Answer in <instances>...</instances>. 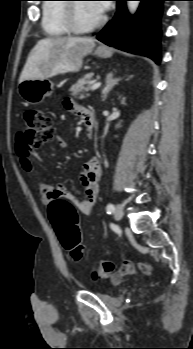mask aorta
Instances as JSON below:
<instances>
[{
  "label": "aorta",
  "instance_id": "obj_1",
  "mask_svg": "<svg viewBox=\"0 0 193 349\" xmlns=\"http://www.w3.org/2000/svg\"><path fill=\"white\" fill-rule=\"evenodd\" d=\"M139 3H140L139 1H128L127 2V7H128V10L131 14L136 12V10L139 7Z\"/></svg>",
  "mask_w": 193,
  "mask_h": 349
}]
</instances>
